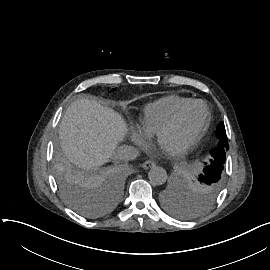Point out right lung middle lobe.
<instances>
[{
    "mask_svg": "<svg viewBox=\"0 0 270 270\" xmlns=\"http://www.w3.org/2000/svg\"><path fill=\"white\" fill-rule=\"evenodd\" d=\"M55 175L61 196L73 210L87 217L99 214V211L91 206L84 179L77 177L64 164L57 166Z\"/></svg>",
    "mask_w": 270,
    "mask_h": 270,
    "instance_id": "obj_1",
    "label": "right lung middle lobe"
}]
</instances>
